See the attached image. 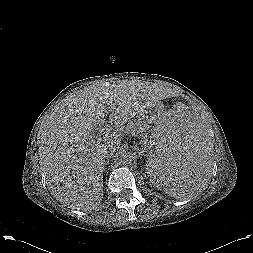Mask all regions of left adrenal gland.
<instances>
[{
  "label": "left adrenal gland",
  "instance_id": "obj_1",
  "mask_svg": "<svg viewBox=\"0 0 253 253\" xmlns=\"http://www.w3.org/2000/svg\"><path fill=\"white\" fill-rule=\"evenodd\" d=\"M139 150V156H142L143 155V153H144V151H143V149H138Z\"/></svg>",
  "mask_w": 253,
  "mask_h": 253
}]
</instances>
